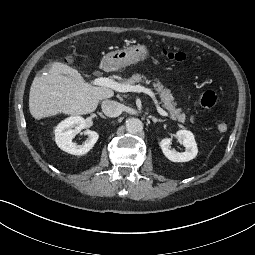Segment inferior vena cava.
<instances>
[{
	"label": "inferior vena cava",
	"instance_id": "obj_1",
	"mask_svg": "<svg viewBox=\"0 0 255 255\" xmlns=\"http://www.w3.org/2000/svg\"><path fill=\"white\" fill-rule=\"evenodd\" d=\"M101 108L103 113L108 117H117L122 112L121 104L112 100L103 101Z\"/></svg>",
	"mask_w": 255,
	"mask_h": 255
}]
</instances>
